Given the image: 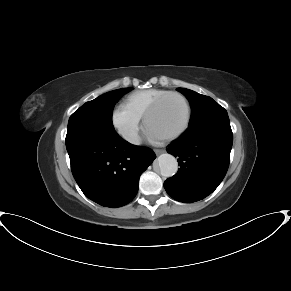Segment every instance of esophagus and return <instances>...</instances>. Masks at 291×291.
<instances>
[{"instance_id": "obj_1", "label": "esophagus", "mask_w": 291, "mask_h": 291, "mask_svg": "<svg viewBox=\"0 0 291 291\" xmlns=\"http://www.w3.org/2000/svg\"><path fill=\"white\" fill-rule=\"evenodd\" d=\"M154 152L156 153V155H160L164 153L165 151L163 149H155Z\"/></svg>"}]
</instances>
